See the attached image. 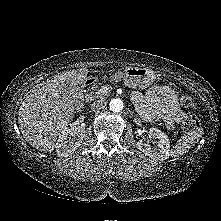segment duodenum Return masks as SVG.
<instances>
[{
	"label": "duodenum",
	"instance_id": "obj_1",
	"mask_svg": "<svg viewBox=\"0 0 221 221\" xmlns=\"http://www.w3.org/2000/svg\"><path fill=\"white\" fill-rule=\"evenodd\" d=\"M94 83H95V81L92 78H87L84 81L83 87L85 89H89V88H91L94 85ZM84 98H87V96H85Z\"/></svg>",
	"mask_w": 221,
	"mask_h": 221
}]
</instances>
